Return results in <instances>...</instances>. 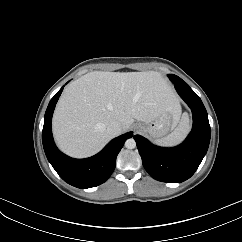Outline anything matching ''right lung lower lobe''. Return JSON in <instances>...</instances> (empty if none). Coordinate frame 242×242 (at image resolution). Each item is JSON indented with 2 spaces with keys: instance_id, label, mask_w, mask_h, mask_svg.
I'll return each mask as SVG.
<instances>
[{
  "instance_id": "obj_1",
  "label": "right lung lower lobe",
  "mask_w": 242,
  "mask_h": 242,
  "mask_svg": "<svg viewBox=\"0 0 242 242\" xmlns=\"http://www.w3.org/2000/svg\"><path fill=\"white\" fill-rule=\"evenodd\" d=\"M63 87L51 99L44 117L42 142L48 161L59 176L68 184L85 189L104 183L114 171L116 157L126 139L133 132L125 133L111 140L106 147L90 158L73 159L60 152L53 140L51 121L55 105L62 93Z\"/></svg>"
}]
</instances>
